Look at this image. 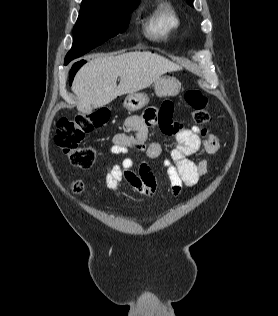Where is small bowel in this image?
<instances>
[{
    "label": "small bowel",
    "instance_id": "c3829d8e",
    "mask_svg": "<svg viewBox=\"0 0 278 316\" xmlns=\"http://www.w3.org/2000/svg\"><path fill=\"white\" fill-rule=\"evenodd\" d=\"M173 106L165 101L160 108L150 107L143 115H132L125 119L122 133L115 134L109 149L113 155H125L130 150L144 153L137 170L130 157H123L107 167L105 181L111 190L120 194L119 185L125 181L138 194L151 196L158 182L147 160L162 156V146L148 143L149 128L159 126L163 133L174 136L176 146L163 158L173 196H178L184 187L196 185L209 170L207 156L215 157L220 149L219 138L214 133H199L172 121ZM198 155L197 159H192Z\"/></svg>",
    "mask_w": 278,
    "mask_h": 316
}]
</instances>
